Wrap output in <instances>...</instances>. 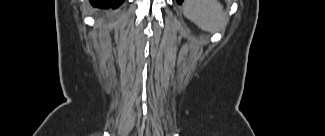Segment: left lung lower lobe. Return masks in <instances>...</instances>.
Here are the masks:
<instances>
[{"mask_svg": "<svg viewBox=\"0 0 325 136\" xmlns=\"http://www.w3.org/2000/svg\"><path fill=\"white\" fill-rule=\"evenodd\" d=\"M183 1H184V0H177V2H178L179 4H181Z\"/></svg>", "mask_w": 325, "mask_h": 136, "instance_id": "0a47b994", "label": "left lung lower lobe"}]
</instances>
